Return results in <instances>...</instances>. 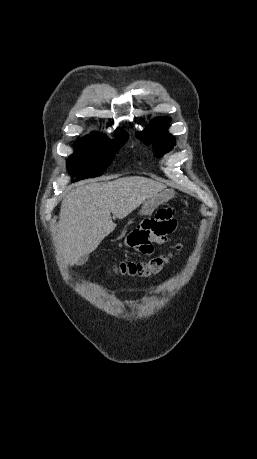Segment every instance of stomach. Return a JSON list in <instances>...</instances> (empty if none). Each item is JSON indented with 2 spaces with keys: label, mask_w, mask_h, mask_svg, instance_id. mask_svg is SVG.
<instances>
[{
  "label": "stomach",
  "mask_w": 257,
  "mask_h": 459,
  "mask_svg": "<svg viewBox=\"0 0 257 459\" xmlns=\"http://www.w3.org/2000/svg\"><path fill=\"white\" fill-rule=\"evenodd\" d=\"M172 196V191L165 190L153 197L146 199L143 203L142 209L140 210V214L150 215L159 205L170 200Z\"/></svg>",
  "instance_id": "obj_1"
}]
</instances>
